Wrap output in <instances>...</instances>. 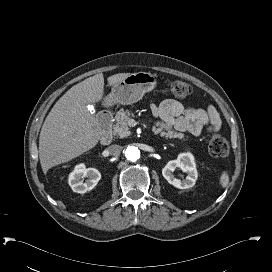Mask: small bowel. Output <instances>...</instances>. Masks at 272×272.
<instances>
[{"instance_id":"small-bowel-1","label":"small bowel","mask_w":272,"mask_h":272,"mask_svg":"<svg viewBox=\"0 0 272 272\" xmlns=\"http://www.w3.org/2000/svg\"><path fill=\"white\" fill-rule=\"evenodd\" d=\"M153 114L165 127L190 132L195 136H199L207 125H211L214 129H218L221 125L219 114L213 105L207 109L193 108L166 99L158 107L153 108Z\"/></svg>"}]
</instances>
